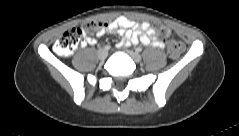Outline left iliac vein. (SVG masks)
Instances as JSON below:
<instances>
[{
    "instance_id": "left-iliac-vein-1",
    "label": "left iliac vein",
    "mask_w": 239,
    "mask_h": 136,
    "mask_svg": "<svg viewBox=\"0 0 239 136\" xmlns=\"http://www.w3.org/2000/svg\"><path fill=\"white\" fill-rule=\"evenodd\" d=\"M127 53L135 62H140L142 60L141 55L135 51L127 50Z\"/></svg>"
}]
</instances>
